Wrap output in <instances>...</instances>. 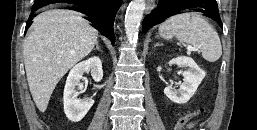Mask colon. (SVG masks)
Instances as JSON below:
<instances>
[{
	"mask_svg": "<svg viewBox=\"0 0 257 130\" xmlns=\"http://www.w3.org/2000/svg\"><path fill=\"white\" fill-rule=\"evenodd\" d=\"M202 110H197L195 112H190L187 114H184L183 116H181L175 126H174V130H184L186 124L192 120L195 116L199 115L201 113Z\"/></svg>",
	"mask_w": 257,
	"mask_h": 130,
	"instance_id": "obj_1",
	"label": "colon"
}]
</instances>
